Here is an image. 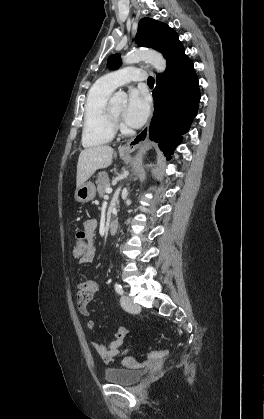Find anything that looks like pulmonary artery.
Masks as SVG:
<instances>
[{
    "mask_svg": "<svg viewBox=\"0 0 264 419\" xmlns=\"http://www.w3.org/2000/svg\"><path fill=\"white\" fill-rule=\"evenodd\" d=\"M147 78V74L144 70L135 67H126L117 71L108 73L103 76L100 81L111 89L129 83L131 81H143Z\"/></svg>",
    "mask_w": 264,
    "mask_h": 419,
    "instance_id": "e3ab8cb5",
    "label": "pulmonary artery"
}]
</instances>
